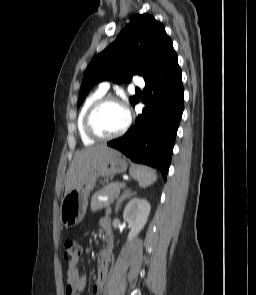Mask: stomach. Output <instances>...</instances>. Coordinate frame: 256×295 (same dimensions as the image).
I'll return each mask as SVG.
<instances>
[{"label": "stomach", "mask_w": 256, "mask_h": 295, "mask_svg": "<svg viewBox=\"0 0 256 295\" xmlns=\"http://www.w3.org/2000/svg\"><path fill=\"white\" fill-rule=\"evenodd\" d=\"M127 162L121 155L114 154L101 166L93 170L81 183L75 186L62 200L60 220L66 228L79 224L85 216L88 198L99 177H109L126 172Z\"/></svg>", "instance_id": "0dacf381"}]
</instances>
